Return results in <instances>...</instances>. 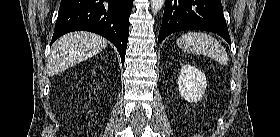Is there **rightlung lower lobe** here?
Returning a JSON list of instances; mask_svg holds the SVG:
<instances>
[{"label":"right lung lower lobe","instance_id":"obj_1","mask_svg":"<svg viewBox=\"0 0 280 137\" xmlns=\"http://www.w3.org/2000/svg\"><path fill=\"white\" fill-rule=\"evenodd\" d=\"M133 0H61L51 43L72 31H89L111 41L122 64L129 35Z\"/></svg>","mask_w":280,"mask_h":137}]
</instances>
